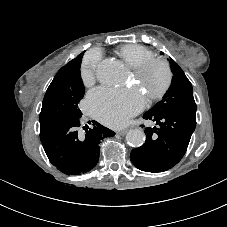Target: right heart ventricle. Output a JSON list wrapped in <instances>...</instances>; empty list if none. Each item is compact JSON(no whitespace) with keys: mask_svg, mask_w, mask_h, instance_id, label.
Listing matches in <instances>:
<instances>
[{"mask_svg":"<svg viewBox=\"0 0 227 227\" xmlns=\"http://www.w3.org/2000/svg\"><path fill=\"white\" fill-rule=\"evenodd\" d=\"M116 53L131 68L155 57L150 49L138 44L122 45L116 50Z\"/></svg>","mask_w":227,"mask_h":227,"instance_id":"right-heart-ventricle-1","label":"right heart ventricle"}]
</instances>
